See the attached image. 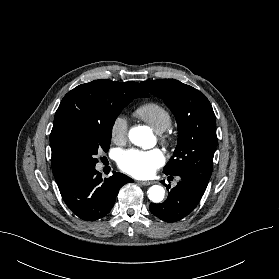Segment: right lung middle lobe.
Here are the masks:
<instances>
[{"instance_id": "right-lung-middle-lobe-1", "label": "right lung middle lobe", "mask_w": 279, "mask_h": 279, "mask_svg": "<svg viewBox=\"0 0 279 279\" xmlns=\"http://www.w3.org/2000/svg\"><path fill=\"white\" fill-rule=\"evenodd\" d=\"M135 97L119 96L109 101L100 121L86 127L75 136L74 157L78 169L95 167L99 151L107 152L115 119L121 110Z\"/></svg>"}]
</instances>
